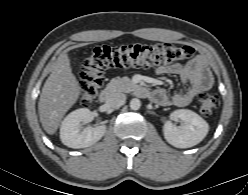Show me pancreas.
Instances as JSON below:
<instances>
[{
	"instance_id": "1",
	"label": "pancreas",
	"mask_w": 248,
	"mask_h": 195,
	"mask_svg": "<svg viewBox=\"0 0 248 195\" xmlns=\"http://www.w3.org/2000/svg\"><path fill=\"white\" fill-rule=\"evenodd\" d=\"M137 86L128 77L113 78L107 85L111 91H119L129 93L132 92Z\"/></svg>"
}]
</instances>
